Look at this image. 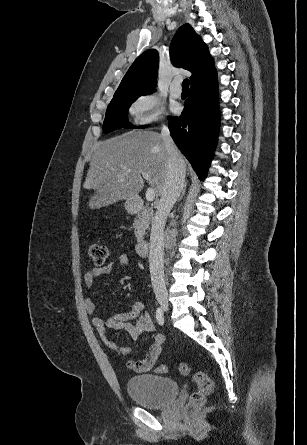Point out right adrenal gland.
Masks as SVG:
<instances>
[{
	"mask_svg": "<svg viewBox=\"0 0 307 445\" xmlns=\"http://www.w3.org/2000/svg\"><path fill=\"white\" fill-rule=\"evenodd\" d=\"M186 186H187V182H185V184H184V186L182 188V192H181V194H180V196L178 198V202H179V200H181V198H183V196L185 194Z\"/></svg>",
	"mask_w": 307,
	"mask_h": 445,
	"instance_id": "right-adrenal-gland-1",
	"label": "right adrenal gland"
}]
</instances>
